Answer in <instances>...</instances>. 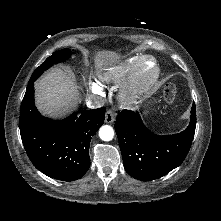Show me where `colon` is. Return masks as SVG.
<instances>
[{
	"label": "colon",
	"instance_id": "colon-1",
	"mask_svg": "<svg viewBox=\"0 0 221 221\" xmlns=\"http://www.w3.org/2000/svg\"><path fill=\"white\" fill-rule=\"evenodd\" d=\"M177 90L174 84H167L164 88V99L168 104H173L176 98Z\"/></svg>",
	"mask_w": 221,
	"mask_h": 221
}]
</instances>
